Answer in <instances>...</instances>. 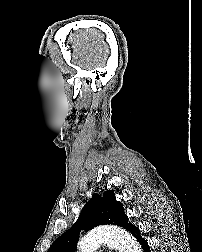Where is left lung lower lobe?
I'll return each mask as SVG.
<instances>
[{"instance_id":"1","label":"left lung lower lobe","mask_w":202,"mask_h":252,"mask_svg":"<svg viewBox=\"0 0 202 252\" xmlns=\"http://www.w3.org/2000/svg\"><path fill=\"white\" fill-rule=\"evenodd\" d=\"M128 231L138 240L144 252H150L149 246L146 240H144L140 235V230L138 227L132 225Z\"/></svg>"}]
</instances>
